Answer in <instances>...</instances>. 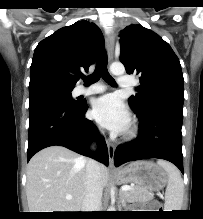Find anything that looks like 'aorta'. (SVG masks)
Here are the masks:
<instances>
[{"label": "aorta", "instance_id": "762f6f07", "mask_svg": "<svg viewBox=\"0 0 203 219\" xmlns=\"http://www.w3.org/2000/svg\"><path fill=\"white\" fill-rule=\"evenodd\" d=\"M110 72L116 76H121L125 73V67L122 63L115 62L110 66Z\"/></svg>", "mask_w": 203, "mask_h": 219}]
</instances>
